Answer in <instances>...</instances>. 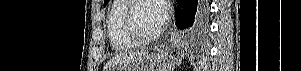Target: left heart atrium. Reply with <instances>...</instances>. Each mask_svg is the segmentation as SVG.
I'll return each mask as SVG.
<instances>
[{"label":"left heart atrium","instance_id":"left-heart-atrium-1","mask_svg":"<svg viewBox=\"0 0 301 71\" xmlns=\"http://www.w3.org/2000/svg\"><path fill=\"white\" fill-rule=\"evenodd\" d=\"M160 29L164 28L169 18V5L165 0H153Z\"/></svg>","mask_w":301,"mask_h":71}]
</instances>
